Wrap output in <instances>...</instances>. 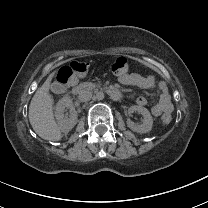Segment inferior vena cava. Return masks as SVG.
Returning a JSON list of instances; mask_svg holds the SVG:
<instances>
[{
	"label": "inferior vena cava",
	"instance_id": "obj_1",
	"mask_svg": "<svg viewBox=\"0 0 208 208\" xmlns=\"http://www.w3.org/2000/svg\"><path fill=\"white\" fill-rule=\"evenodd\" d=\"M91 98H92V92L88 90H82L78 96V99L82 102L89 101Z\"/></svg>",
	"mask_w": 208,
	"mask_h": 208
}]
</instances>
